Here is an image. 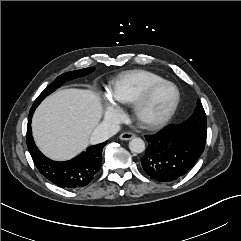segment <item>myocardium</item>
<instances>
[{"label":"myocardium","instance_id":"1","mask_svg":"<svg viewBox=\"0 0 241 241\" xmlns=\"http://www.w3.org/2000/svg\"><path fill=\"white\" fill-rule=\"evenodd\" d=\"M163 86H171L175 89V99L164 115L159 118H148L145 110L150 103L153 95ZM181 101V92L176 84L168 80H162L151 85L133 104V113L136 120L144 127L149 129H159L168 124L175 115Z\"/></svg>","mask_w":241,"mask_h":241}]
</instances>
